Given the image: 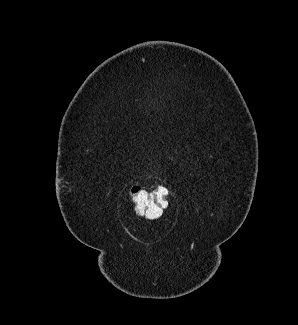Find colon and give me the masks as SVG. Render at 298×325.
Wrapping results in <instances>:
<instances>
[{
  "label": "colon",
  "instance_id": "5ec220e1",
  "mask_svg": "<svg viewBox=\"0 0 298 325\" xmlns=\"http://www.w3.org/2000/svg\"><path fill=\"white\" fill-rule=\"evenodd\" d=\"M167 190L157 187L151 190L135 186L130 190V197L136 214L148 218L160 215L167 202Z\"/></svg>",
  "mask_w": 298,
  "mask_h": 325
}]
</instances>
